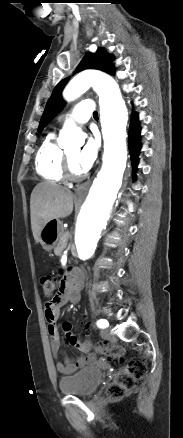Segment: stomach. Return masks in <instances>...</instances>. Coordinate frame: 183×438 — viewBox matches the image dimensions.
<instances>
[{
    "label": "stomach",
    "mask_w": 183,
    "mask_h": 438,
    "mask_svg": "<svg viewBox=\"0 0 183 438\" xmlns=\"http://www.w3.org/2000/svg\"><path fill=\"white\" fill-rule=\"evenodd\" d=\"M63 233L62 223L59 220H51L42 228L39 242L47 252L52 251Z\"/></svg>",
    "instance_id": "stomach-1"
}]
</instances>
